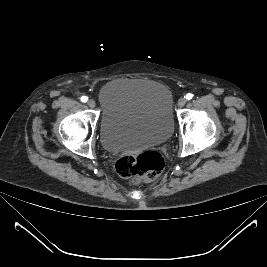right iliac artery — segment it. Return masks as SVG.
<instances>
[{"label": "right iliac artery", "mask_w": 267, "mask_h": 267, "mask_svg": "<svg viewBox=\"0 0 267 267\" xmlns=\"http://www.w3.org/2000/svg\"><path fill=\"white\" fill-rule=\"evenodd\" d=\"M81 101H82V102H86V101H87V97L82 96V97H81Z\"/></svg>", "instance_id": "1"}]
</instances>
